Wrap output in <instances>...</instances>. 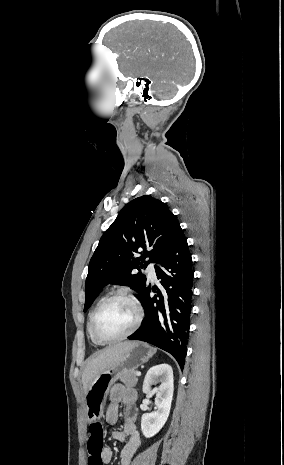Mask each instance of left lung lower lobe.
Returning <instances> with one entry per match:
<instances>
[{
    "instance_id": "1",
    "label": "left lung lower lobe",
    "mask_w": 284,
    "mask_h": 465,
    "mask_svg": "<svg viewBox=\"0 0 284 465\" xmlns=\"http://www.w3.org/2000/svg\"><path fill=\"white\" fill-rule=\"evenodd\" d=\"M156 263V275L162 287L152 288L146 282L138 298L143 304L145 319L128 339L146 341L169 352L183 369L190 333L194 273L181 227ZM151 289L157 293L154 297H150Z\"/></svg>"
}]
</instances>
